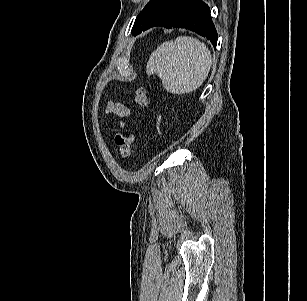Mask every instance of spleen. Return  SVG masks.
Wrapping results in <instances>:
<instances>
[{
	"mask_svg": "<svg viewBox=\"0 0 307 301\" xmlns=\"http://www.w3.org/2000/svg\"><path fill=\"white\" fill-rule=\"evenodd\" d=\"M211 65V52L204 43L194 37L179 36L153 51L146 72L157 74L168 92L186 94L202 85Z\"/></svg>",
	"mask_w": 307,
	"mask_h": 301,
	"instance_id": "3e777b00",
	"label": "spleen"
}]
</instances>
